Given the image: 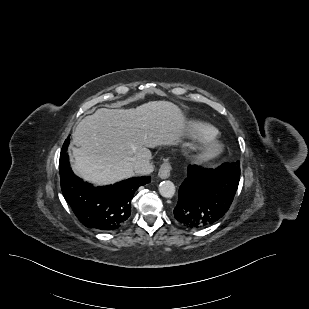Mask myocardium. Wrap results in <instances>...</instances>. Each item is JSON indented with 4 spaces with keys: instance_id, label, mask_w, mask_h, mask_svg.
<instances>
[{
    "instance_id": "myocardium-1",
    "label": "myocardium",
    "mask_w": 309,
    "mask_h": 309,
    "mask_svg": "<svg viewBox=\"0 0 309 309\" xmlns=\"http://www.w3.org/2000/svg\"><path fill=\"white\" fill-rule=\"evenodd\" d=\"M223 150V146L212 139L205 140L198 148L195 158L198 162H208L216 158Z\"/></svg>"
}]
</instances>
